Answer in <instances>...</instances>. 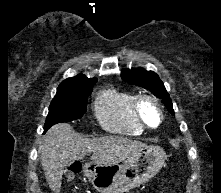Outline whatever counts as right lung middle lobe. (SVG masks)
<instances>
[{"label":"right lung middle lobe","instance_id":"dd1d6c3e","mask_svg":"<svg viewBox=\"0 0 221 193\" xmlns=\"http://www.w3.org/2000/svg\"><path fill=\"white\" fill-rule=\"evenodd\" d=\"M95 83L88 87L57 90L49 107L44 132L56 123L69 122L81 118L86 112L87 98L91 94Z\"/></svg>","mask_w":221,"mask_h":193}]
</instances>
